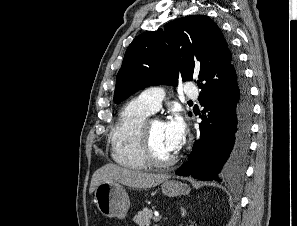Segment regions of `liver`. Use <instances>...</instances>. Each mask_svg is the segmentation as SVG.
<instances>
[{"label": "liver", "instance_id": "6515ba94", "mask_svg": "<svg viewBox=\"0 0 297 226\" xmlns=\"http://www.w3.org/2000/svg\"><path fill=\"white\" fill-rule=\"evenodd\" d=\"M170 176L166 174H151L130 170L115 164H106L94 172L89 193H93L96 187L103 182H118L132 188H151L164 182Z\"/></svg>", "mask_w": 297, "mask_h": 226}]
</instances>
